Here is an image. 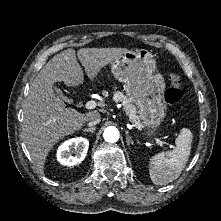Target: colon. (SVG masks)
Masks as SVG:
<instances>
[{"instance_id":"colon-1","label":"colon","mask_w":221,"mask_h":221,"mask_svg":"<svg viewBox=\"0 0 221 221\" xmlns=\"http://www.w3.org/2000/svg\"><path fill=\"white\" fill-rule=\"evenodd\" d=\"M168 80L170 82V86L165 91L164 103L168 107H174L183 99L182 78L178 73L170 72L168 75Z\"/></svg>"}]
</instances>
